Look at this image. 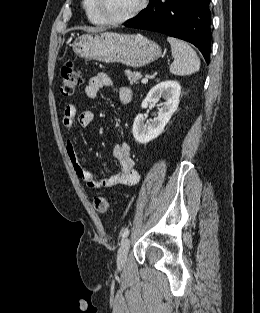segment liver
Masks as SVG:
<instances>
[{
    "mask_svg": "<svg viewBox=\"0 0 260 313\" xmlns=\"http://www.w3.org/2000/svg\"><path fill=\"white\" fill-rule=\"evenodd\" d=\"M86 31H89V32H98V31H102V29H97V28H89V29H85Z\"/></svg>",
    "mask_w": 260,
    "mask_h": 313,
    "instance_id": "obj_1",
    "label": "liver"
}]
</instances>
